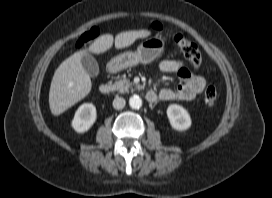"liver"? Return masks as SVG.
<instances>
[{"instance_id":"1","label":"liver","mask_w":272,"mask_h":198,"mask_svg":"<svg viewBox=\"0 0 272 198\" xmlns=\"http://www.w3.org/2000/svg\"><path fill=\"white\" fill-rule=\"evenodd\" d=\"M151 34L148 30L121 32L115 39L111 34L100 36L92 43L88 51L101 54L109 50L113 42L117 49L132 45L138 38H146ZM85 51H78L64 60L56 69L49 91V107L51 113L58 116L87 96L91 90L90 76L84 70L81 58Z\"/></svg>"}]
</instances>
